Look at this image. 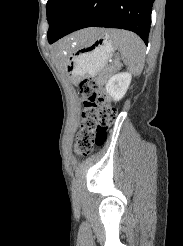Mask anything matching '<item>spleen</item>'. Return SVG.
Masks as SVG:
<instances>
[{
	"mask_svg": "<svg viewBox=\"0 0 183 246\" xmlns=\"http://www.w3.org/2000/svg\"><path fill=\"white\" fill-rule=\"evenodd\" d=\"M110 37L116 47L119 48L125 65L135 75H139L145 61V45L135 33L130 31L113 29Z\"/></svg>",
	"mask_w": 183,
	"mask_h": 246,
	"instance_id": "1",
	"label": "spleen"
}]
</instances>
